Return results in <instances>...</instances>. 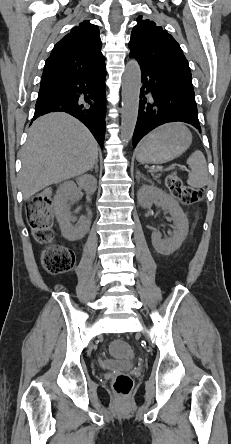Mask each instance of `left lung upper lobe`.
<instances>
[{
    "label": "left lung upper lobe",
    "mask_w": 231,
    "mask_h": 444,
    "mask_svg": "<svg viewBox=\"0 0 231 444\" xmlns=\"http://www.w3.org/2000/svg\"><path fill=\"white\" fill-rule=\"evenodd\" d=\"M129 42V56L140 66L158 68L192 85L191 71L179 44L162 27L150 20L137 18Z\"/></svg>",
    "instance_id": "left-lung-upper-lobe-1"
}]
</instances>
